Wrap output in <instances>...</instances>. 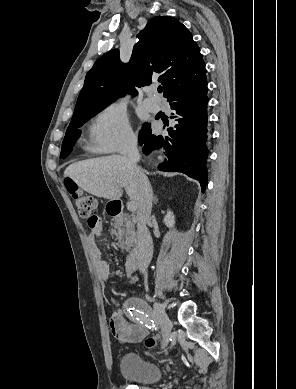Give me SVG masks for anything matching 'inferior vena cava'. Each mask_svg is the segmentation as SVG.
I'll return each instance as SVG.
<instances>
[{"instance_id":"obj_1","label":"inferior vena cava","mask_w":296,"mask_h":389,"mask_svg":"<svg viewBox=\"0 0 296 389\" xmlns=\"http://www.w3.org/2000/svg\"><path fill=\"white\" fill-rule=\"evenodd\" d=\"M127 157L139 182L140 198L137 210V234L139 243L145 248L139 260V269L144 273L151 261L153 252L152 238L146 226L151 215L153 193L148 178L137 166L140 155L137 148V137L135 136L131 137L128 142Z\"/></svg>"}]
</instances>
